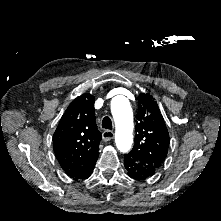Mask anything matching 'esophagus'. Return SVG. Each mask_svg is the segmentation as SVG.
<instances>
[{
	"label": "esophagus",
	"mask_w": 221,
	"mask_h": 221,
	"mask_svg": "<svg viewBox=\"0 0 221 221\" xmlns=\"http://www.w3.org/2000/svg\"><path fill=\"white\" fill-rule=\"evenodd\" d=\"M102 138L103 140L105 141H109L111 139L114 138V132L113 131H110V130H105L103 133H102Z\"/></svg>",
	"instance_id": "34e87169"
}]
</instances>
